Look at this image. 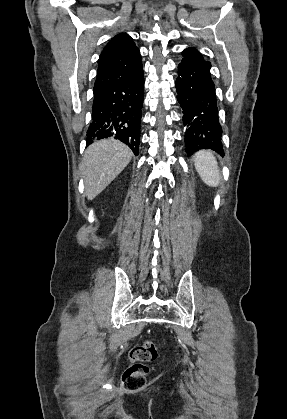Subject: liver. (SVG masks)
Returning a JSON list of instances; mask_svg holds the SVG:
<instances>
[{"instance_id": "obj_1", "label": "liver", "mask_w": 287, "mask_h": 419, "mask_svg": "<svg viewBox=\"0 0 287 419\" xmlns=\"http://www.w3.org/2000/svg\"><path fill=\"white\" fill-rule=\"evenodd\" d=\"M131 149L115 139L94 142L85 151L81 170L88 200L100 194L129 164Z\"/></svg>"}]
</instances>
